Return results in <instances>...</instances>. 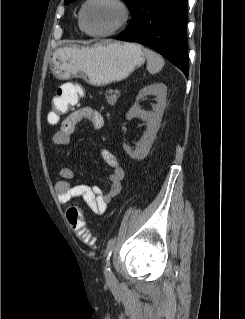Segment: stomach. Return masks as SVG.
<instances>
[{
	"instance_id": "obj_1",
	"label": "stomach",
	"mask_w": 245,
	"mask_h": 319,
	"mask_svg": "<svg viewBox=\"0 0 245 319\" xmlns=\"http://www.w3.org/2000/svg\"><path fill=\"white\" fill-rule=\"evenodd\" d=\"M144 62L141 45L108 41L60 47L52 55L50 70L58 79L81 77L89 84L104 86L125 79Z\"/></svg>"
}]
</instances>
